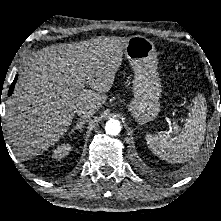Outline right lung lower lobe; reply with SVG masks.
<instances>
[{
    "mask_svg": "<svg viewBox=\"0 0 221 221\" xmlns=\"http://www.w3.org/2000/svg\"><path fill=\"white\" fill-rule=\"evenodd\" d=\"M16 80H17V75H16V77H15L13 83H12L11 86H10V89H9V92H8V96H10V95L13 93Z\"/></svg>",
    "mask_w": 221,
    "mask_h": 221,
    "instance_id": "98d812e1",
    "label": "right lung lower lobe"
}]
</instances>
